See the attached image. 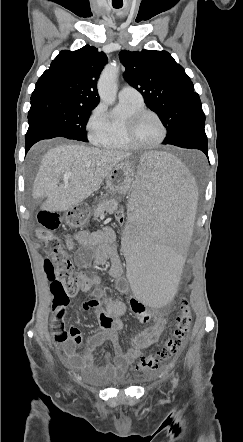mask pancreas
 Wrapping results in <instances>:
<instances>
[{
  "instance_id": "pancreas-1",
  "label": "pancreas",
  "mask_w": 243,
  "mask_h": 442,
  "mask_svg": "<svg viewBox=\"0 0 243 442\" xmlns=\"http://www.w3.org/2000/svg\"><path fill=\"white\" fill-rule=\"evenodd\" d=\"M118 208V203L114 199L101 201L96 208H94L93 215L95 218L105 215L106 213H113Z\"/></svg>"
}]
</instances>
